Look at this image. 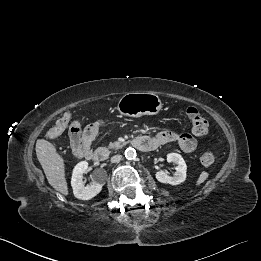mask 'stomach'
Here are the masks:
<instances>
[{
  "label": "stomach",
  "instance_id": "1",
  "mask_svg": "<svg viewBox=\"0 0 261 261\" xmlns=\"http://www.w3.org/2000/svg\"><path fill=\"white\" fill-rule=\"evenodd\" d=\"M162 106L160 98L153 93L130 92L120 98L117 110L124 116L141 117L158 114Z\"/></svg>",
  "mask_w": 261,
  "mask_h": 261
}]
</instances>
